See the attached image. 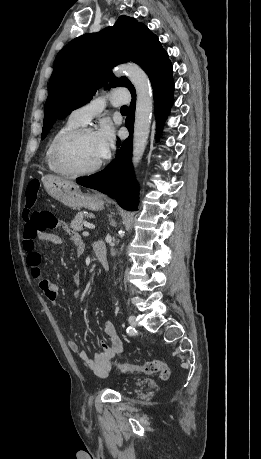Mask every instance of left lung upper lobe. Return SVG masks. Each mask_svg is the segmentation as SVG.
Listing matches in <instances>:
<instances>
[{"instance_id": "left-lung-upper-lobe-1", "label": "left lung upper lobe", "mask_w": 261, "mask_h": 459, "mask_svg": "<svg viewBox=\"0 0 261 459\" xmlns=\"http://www.w3.org/2000/svg\"><path fill=\"white\" fill-rule=\"evenodd\" d=\"M127 61L140 65L150 81L171 63L157 36L143 23L125 15L120 16L113 27L68 43L55 59L41 139L57 119L88 103L97 89L114 77V66ZM118 86L135 92L125 77L112 80L105 89Z\"/></svg>"}]
</instances>
